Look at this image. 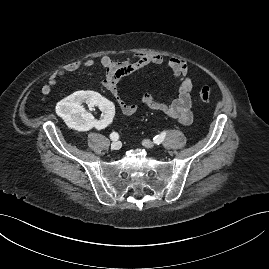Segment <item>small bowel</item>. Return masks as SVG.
<instances>
[{"instance_id": "obj_1", "label": "small bowel", "mask_w": 269, "mask_h": 269, "mask_svg": "<svg viewBox=\"0 0 269 269\" xmlns=\"http://www.w3.org/2000/svg\"><path fill=\"white\" fill-rule=\"evenodd\" d=\"M96 62L90 58H84L69 62L53 71L46 83L41 88L43 95L51 93L53 87L59 79L68 73L78 71L80 69H89L94 67ZM99 64L104 70L102 85L115 98L120 111L124 115H134L138 112L139 106L137 103L125 101L118 90L120 79L126 74L135 72L148 65H163L167 64L171 70L174 79L178 82V94L169 103L158 101L151 93L144 92L140 96V103L145 107L161 112L170 118L175 119L183 125H189L193 121L192 97L193 79L190 74L188 62L180 57H172L166 60L165 57L159 54L138 53L126 60H114L108 55H103L99 59Z\"/></svg>"}]
</instances>
